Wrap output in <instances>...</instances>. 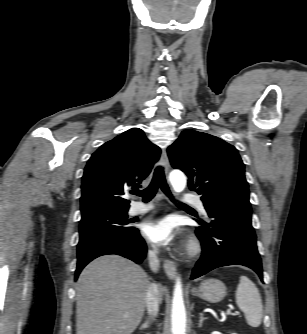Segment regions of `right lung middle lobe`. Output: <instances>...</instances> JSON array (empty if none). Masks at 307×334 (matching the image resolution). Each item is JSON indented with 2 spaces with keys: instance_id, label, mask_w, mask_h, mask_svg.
Masks as SVG:
<instances>
[{
  "instance_id": "obj_1",
  "label": "right lung middle lobe",
  "mask_w": 307,
  "mask_h": 334,
  "mask_svg": "<svg viewBox=\"0 0 307 334\" xmlns=\"http://www.w3.org/2000/svg\"><path fill=\"white\" fill-rule=\"evenodd\" d=\"M127 212L102 211L82 216L78 256L90 248L108 242H122L137 231L129 225Z\"/></svg>"
}]
</instances>
